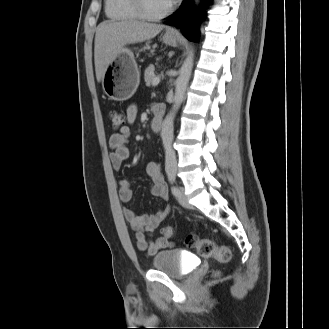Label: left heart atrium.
<instances>
[{"label": "left heart atrium", "mask_w": 329, "mask_h": 329, "mask_svg": "<svg viewBox=\"0 0 329 329\" xmlns=\"http://www.w3.org/2000/svg\"><path fill=\"white\" fill-rule=\"evenodd\" d=\"M170 5L174 4L176 0H167Z\"/></svg>", "instance_id": "left-heart-atrium-1"}]
</instances>
